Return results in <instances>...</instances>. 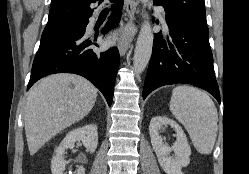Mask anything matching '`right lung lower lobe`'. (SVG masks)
<instances>
[{"label": "right lung lower lobe", "mask_w": 249, "mask_h": 174, "mask_svg": "<svg viewBox=\"0 0 249 174\" xmlns=\"http://www.w3.org/2000/svg\"><path fill=\"white\" fill-rule=\"evenodd\" d=\"M115 2L114 12L102 30L103 33L117 26L120 20L123 0ZM88 23V19L74 21L55 33L50 40L40 43L33 61L27 90L40 78L49 74L74 73L92 82L103 93L108 105H111L119 68V52L116 48H112L99 55L88 49L92 44L84 36Z\"/></svg>", "instance_id": "98d812e1"}]
</instances>
